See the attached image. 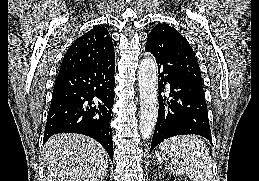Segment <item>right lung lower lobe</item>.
Listing matches in <instances>:
<instances>
[{"instance_id": "98d812e1", "label": "right lung lower lobe", "mask_w": 259, "mask_h": 181, "mask_svg": "<svg viewBox=\"0 0 259 181\" xmlns=\"http://www.w3.org/2000/svg\"><path fill=\"white\" fill-rule=\"evenodd\" d=\"M115 56L100 63L59 73L44 132L45 143L57 133H80L97 140L113 160Z\"/></svg>"}]
</instances>
